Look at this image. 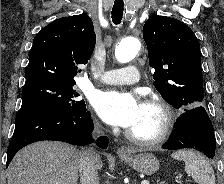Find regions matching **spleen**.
Segmentation results:
<instances>
[{
  "instance_id": "1",
  "label": "spleen",
  "mask_w": 224,
  "mask_h": 184,
  "mask_svg": "<svg viewBox=\"0 0 224 184\" xmlns=\"http://www.w3.org/2000/svg\"><path fill=\"white\" fill-rule=\"evenodd\" d=\"M174 159L184 161L185 171L198 184H215V175L210 163L197 152L183 150L171 155Z\"/></svg>"
}]
</instances>
